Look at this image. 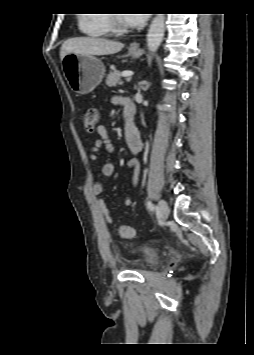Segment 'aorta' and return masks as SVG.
<instances>
[{
    "instance_id": "762f6f07",
    "label": "aorta",
    "mask_w": 254,
    "mask_h": 355,
    "mask_svg": "<svg viewBox=\"0 0 254 355\" xmlns=\"http://www.w3.org/2000/svg\"><path fill=\"white\" fill-rule=\"evenodd\" d=\"M165 32V16L157 14L151 22L147 34V47L149 51L155 52L159 48Z\"/></svg>"
}]
</instances>
